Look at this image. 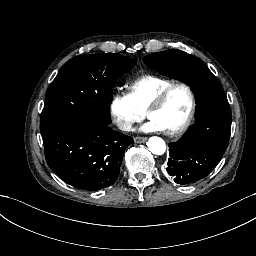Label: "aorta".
I'll use <instances>...</instances> for the list:
<instances>
[{"label":"aorta","mask_w":256,"mask_h":256,"mask_svg":"<svg viewBox=\"0 0 256 256\" xmlns=\"http://www.w3.org/2000/svg\"><path fill=\"white\" fill-rule=\"evenodd\" d=\"M147 147L152 154L163 155L166 151L165 141L158 136H152L147 142Z\"/></svg>","instance_id":"1"}]
</instances>
